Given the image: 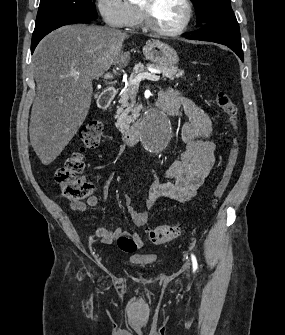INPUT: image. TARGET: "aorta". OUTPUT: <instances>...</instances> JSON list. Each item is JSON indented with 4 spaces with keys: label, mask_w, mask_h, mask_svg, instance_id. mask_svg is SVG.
<instances>
[{
    "label": "aorta",
    "mask_w": 285,
    "mask_h": 335,
    "mask_svg": "<svg viewBox=\"0 0 285 335\" xmlns=\"http://www.w3.org/2000/svg\"><path fill=\"white\" fill-rule=\"evenodd\" d=\"M149 111L144 114L143 125L136 127V134L144 137L142 147H171V137L175 134L174 119H166V112H155V105H150ZM151 155L157 156L158 150L152 149Z\"/></svg>",
    "instance_id": "1"
}]
</instances>
